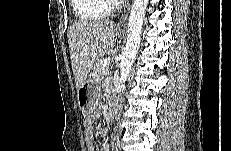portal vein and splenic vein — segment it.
<instances>
[{
    "label": "portal vein and splenic vein",
    "mask_w": 231,
    "mask_h": 151,
    "mask_svg": "<svg viewBox=\"0 0 231 151\" xmlns=\"http://www.w3.org/2000/svg\"><path fill=\"white\" fill-rule=\"evenodd\" d=\"M110 63V58H106L103 61H101L102 66H107Z\"/></svg>",
    "instance_id": "obj_1"
}]
</instances>
